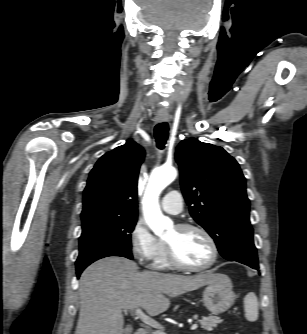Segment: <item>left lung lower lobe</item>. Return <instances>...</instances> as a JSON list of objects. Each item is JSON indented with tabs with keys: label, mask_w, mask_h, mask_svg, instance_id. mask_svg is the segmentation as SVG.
I'll return each instance as SVG.
<instances>
[{
	"label": "left lung lower lobe",
	"mask_w": 307,
	"mask_h": 334,
	"mask_svg": "<svg viewBox=\"0 0 307 334\" xmlns=\"http://www.w3.org/2000/svg\"><path fill=\"white\" fill-rule=\"evenodd\" d=\"M227 260L237 261L248 265L253 269H259L255 246H241L238 248L237 256L228 258Z\"/></svg>",
	"instance_id": "obj_1"
}]
</instances>
